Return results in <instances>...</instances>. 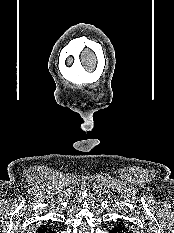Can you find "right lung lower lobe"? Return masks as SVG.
<instances>
[{
	"mask_svg": "<svg viewBox=\"0 0 174 233\" xmlns=\"http://www.w3.org/2000/svg\"><path fill=\"white\" fill-rule=\"evenodd\" d=\"M37 233H55L54 230L51 229V226H41L38 230Z\"/></svg>",
	"mask_w": 174,
	"mask_h": 233,
	"instance_id": "1",
	"label": "right lung lower lobe"
}]
</instances>
